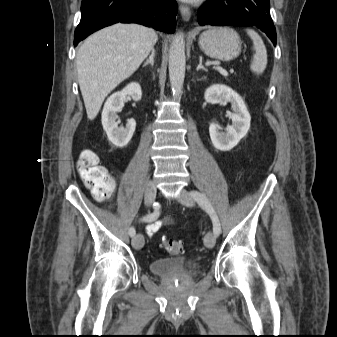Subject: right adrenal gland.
<instances>
[{"label": "right adrenal gland", "instance_id": "1", "mask_svg": "<svg viewBox=\"0 0 337 337\" xmlns=\"http://www.w3.org/2000/svg\"><path fill=\"white\" fill-rule=\"evenodd\" d=\"M154 58H155V50L152 49L151 55L149 56V59L146 60V62L143 64V67L146 65H151L152 67L154 66Z\"/></svg>", "mask_w": 337, "mask_h": 337}]
</instances>
